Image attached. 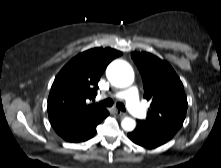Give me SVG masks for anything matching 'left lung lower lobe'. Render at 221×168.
Masks as SVG:
<instances>
[{"label": "left lung lower lobe", "mask_w": 221, "mask_h": 168, "mask_svg": "<svg viewBox=\"0 0 221 168\" xmlns=\"http://www.w3.org/2000/svg\"><path fill=\"white\" fill-rule=\"evenodd\" d=\"M174 135L152 126L143 120L137 121V127L128 133V138L144 148H156L172 139Z\"/></svg>", "instance_id": "1"}]
</instances>
